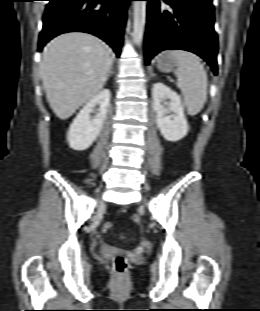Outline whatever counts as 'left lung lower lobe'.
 <instances>
[{"instance_id": "obj_1", "label": "left lung lower lobe", "mask_w": 260, "mask_h": 311, "mask_svg": "<svg viewBox=\"0 0 260 311\" xmlns=\"http://www.w3.org/2000/svg\"><path fill=\"white\" fill-rule=\"evenodd\" d=\"M146 1V64L163 50H186L207 61L217 75L218 39L212 0H163L171 10L162 8L159 0Z\"/></svg>"}]
</instances>
